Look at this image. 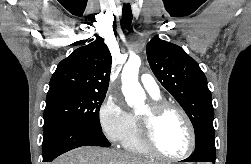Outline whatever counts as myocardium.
<instances>
[{
  "instance_id": "obj_1",
  "label": "myocardium",
  "mask_w": 251,
  "mask_h": 164,
  "mask_svg": "<svg viewBox=\"0 0 251 164\" xmlns=\"http://www.w3.org/2000/svg\"><path fill=\"white\" fill-rule=\"evenodd\" d=\"M169 110L176 111L182 116L189 131V147L187 151L180 156H169L163 153L158 147L155 139L156 124L160 117ZM138 120L141 128L143 144L152 155L162 160L176 162L188 158L194 152L196 148L195 128L189 115L179 105L166 101L152 102L149 106V113L146 116H139Z\"/></svg>"
}]
</instances>
